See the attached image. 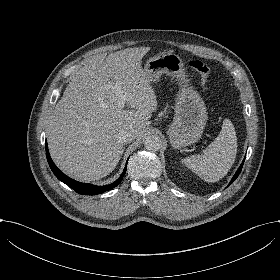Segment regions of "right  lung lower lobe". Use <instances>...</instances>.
<instances>
[{
  "instance_id": "1",
  "label": "right lung lower lobe",
  "mask_w": 280,
  "mask_h": 280,
  "mask_svg": "<svg viewBox=\"0 0 280 280\" xmlns=\"http://www.w3.org/2000/svg\"><path fill=\"white\" fill-rule=\"evenodd\" d=\"M46 156H47V161L49 163V166H50L51 170L53 171V173L55 174V176L60 181H62L63 183H65L66 185L71 187L74 191H76L77 193L82 194V195H96V194H100V193H103L105 191L113 189L123 179V176L126 172V167H127V164H126V167H125L123 173L121 174V176L115 182H113L109 185H105V186H95V185L85 184V183L75 181V180L69 178L68 176H66L64 173H62L57 168V166L53 163V161H52V159L49 155L47 143H46Z\"/></svg>"
}]
</instances>
